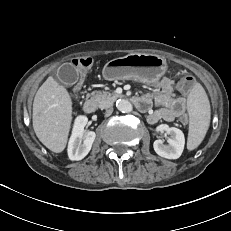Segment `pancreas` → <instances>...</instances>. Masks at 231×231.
<instances>
[{
    "label": "pancreas",
    "mask_w": 231,
    "mask_h": 231,
    "mask_svg": "<svg viewBox=\"0 0 231 231\" xmlns=\"http://www.w3.org/2000/svg\"><path fill=\"white\" fill-rule=\"evenodd\" d=\"M91 96L95 102H97L98 107L101 109L112 106L113 102L119 97V95L116 93H110L106 91H93Z\"/></svg>",
    "instance_id": "obj_1"
}]
</instances>
